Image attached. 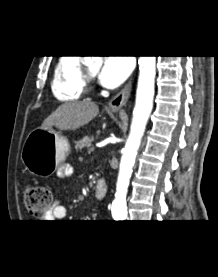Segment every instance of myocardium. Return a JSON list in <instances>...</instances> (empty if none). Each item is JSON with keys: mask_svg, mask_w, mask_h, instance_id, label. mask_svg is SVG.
Wrapping results in <instances>:
<instances>
[{"mask_svg": "<svg viewBox=\"0 0 218 277\" xmlns=\"http://www.w3.org/2000/svg\"><path fill=\"white\" fill-rule=\"evenodd\" d=\"M94 77V74H92L89 69L83 65L82 67V78L84 82V88L87 89L88 86L90 85L92 79Z\"/></svg>", "mask_w": 218, "mask_h": 277, "instance_id": "obj_1", "label": "myocardium"}]
</instances>
